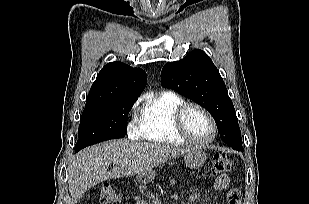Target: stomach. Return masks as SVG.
<instances>
[{"instance_id": "0dacf381", "label": "stomach", "mask_w": 309, "mask_h": 204, "mask_svg": "<svg viewBox=\"0 0 309 204\" xmlns=\"http://www.w3.org/2000/svg\"><path fill=\"white\" fill-rule=\"evenodd\" d=\"M205 160L206 153L205 151H203V149L199 147L191 148L184 154L185 165L190 169H197L201 167L204 164ZM156 174V170L150 169L148 171L139 173L136 176V179L141 184H147L155 179Z\"/></svg>"}]
</instances>
